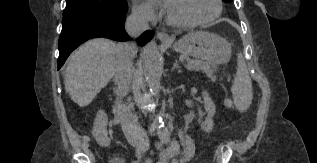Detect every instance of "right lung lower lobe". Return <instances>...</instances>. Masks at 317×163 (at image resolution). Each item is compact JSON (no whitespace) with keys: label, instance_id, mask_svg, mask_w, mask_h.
Segmentation results:
<instances>
[{"label":"right lung lower lobe","instance_id":"right-lung-lower-lobe-1","mask_svg":"<svg viewBox=\"0 0 317 163\" xmlns=\"http://www.w3.org/2000/svg\"><path fill=\"white\" fill-rule=\"evenodd\" d=\"M126 12L98 13L80 21L62 26L58 44V69L62 67L74 49L90 38L105 37L117 41L129 39L124 30ZM153 35V31H146L142 34L139 38L140 45H144Z\"/></svg>","mask_w":317,"mask_h":163}]
</instances>
